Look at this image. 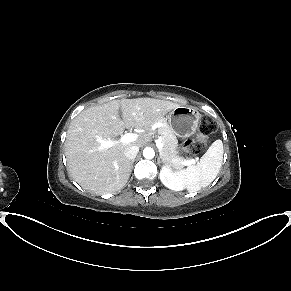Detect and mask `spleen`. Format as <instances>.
Listing matches in <instances>:
<instances>
[{
  "instance_id": "1",
  "label": "spleen",
  "mask_w": 291,
  "mask_h": 291,
  "mask_svg": "<svg viewBox=\"0 0 291 291\" xmlns=\"http://www.w3.org/2000/svg\"><path fill=\"white\" fill-rule=\"evenodd\" d=\"M223 159V143L216 140L208 148L207 152L200 158L196 165L179 170L181 177L189 192H196L210 185L217 177Z\"/></svg>"
}]
</instances>
